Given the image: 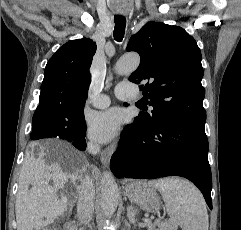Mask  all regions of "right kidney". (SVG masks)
<instances>
[{"instance_id": "ca27d5eb", "label": "right kidney", "mask_w": 241, "mask_h": 230, "mask_svg": "<svg viewBox=\"0 0 241 230\" xmlns=\"http://www.w3.org/2000/svg\"><path fill=\"white\" fill-rule=\"evenodd\" d=\"M43 230H51V229L46 228V229H43Z\"/></svg>"}]
</instances>
